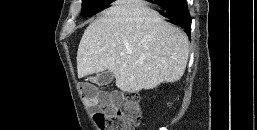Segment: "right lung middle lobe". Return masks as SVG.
I'll return each instance as SVG.
<instances>
[{"label":"right lung middle lobe","instance_id":"obj_1","mask_svg":"<svg viewBox=\"0 0 257 130\" xmlns=\"http://www.w3.org/2000/svg\"><path fill=\"white\" fill-rule=\"evenodd\" d=\"M109 4H111L110 0H82L81 15L85 17L92 16Z\"/></svg>","mask_w":257,"mask_h":130}]
</instances>
